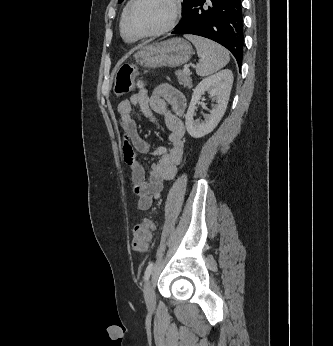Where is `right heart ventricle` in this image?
<instances>
[{
    "instance_id": "obj_1",
    "label": "right heart ventricle",
    "mask_w": 333,
    "mask_h": 346,
    "mask_svg": "<svg viewBox=\"0 0 333 346\" xmlns=\"http://www.w3.org/2000/svg\"><path fill=\"white\" fill-rule=\"evenodd\" d=\"M129 3H130V1H128L127 4L125 5V7L123 8V11H122V14H121V18H120V22H119V30H120V33H121L122 37H123L125 40H129V39H127V38L123 35L121 26H122V19H123V16H124V14H125V12H126V9H127L128 5H129Z\"/></svg>"
}]
</instances>
